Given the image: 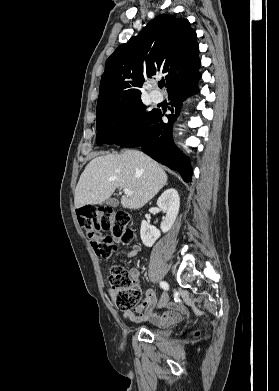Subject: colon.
I'll use <instances>...</instances> for the list:
<instances>
[{"label": "colon", "mask_w": 279, "mask_h": 391, "mask_svg": "<svg viewBox=\"0 0 279 391\" xmlns=\"http://www.w3.org/2000/svg\"><path fill=\"white\" fill-rule=\"evenodd\" d=\"M77 217L96 255L103 260L112 258L117 242L129 243L134 238L132 219L125 211H114L110 207H83L78 211ZM109 284L119 309L130 311L139 304L141 289L132 273L124 267H112Z\"/></svg>", "instance_id": "obj_1"}]
</instances>
